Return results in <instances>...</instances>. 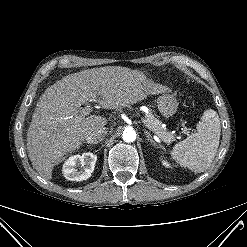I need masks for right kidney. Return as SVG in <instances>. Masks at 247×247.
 <instances>
[{
	"label": "right kidney",
	"instance_id": "ca27d5eb",
	"mask_svg": "<svg viewBox=\"0 0 247 247\" xmlns=\"http://www.w3.org/2000/svg\"><path fill=\"white\" fill-rule=\"evenodd\" d=\"M96 161L97 156L91 152L73 155L63 165L64 177L70 181L86 180L94 171ZM79 166L83 167L80 171L77 169Z\"/></svg>",
	"mask_w": 247,
	"mask_h": 247
}]
</instances>
